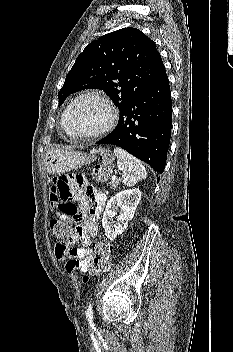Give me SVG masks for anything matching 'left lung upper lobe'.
Returning a JSON list of instances; mask_svg holds the SVG:
<instances>
[{
    "mask_svg": "<svg viewBox=\"0 0 233 352\" xmlns=\"http://www.w3.org/2000/svg\"><path fill=\"white\" fill-rule=\"evenodd\" d=\"M165 72L156 44L135 28L92 41L77 57L58 93L59 105L83 89H102L121 112Z\"/></svg>",
    "mask_w": 233,
    "mask_h": 352,
    "instance_id": "obj_1",
    "label": "left lung upper lobe"
}]
</instances>
